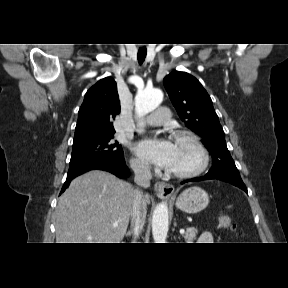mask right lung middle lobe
Segmentation results:
<instances>
[{
    "label": "right lung middle lobe",
    "mask_w": 288,
    "mask_h": 288,
    "mask_svg": "<svg viewBox=\"0 0 288 288\" xmlns=\"http://www.w3.org/2000/svg\"><path fill=\"white\" fill-rule=\"evenodd\" d=\"M114 134L96 137L73 143L70 163L90 157H108L113 160H123V150L117 141H113Z\"/></svg>",
    "instance_id": "1"
}]
</instances>
